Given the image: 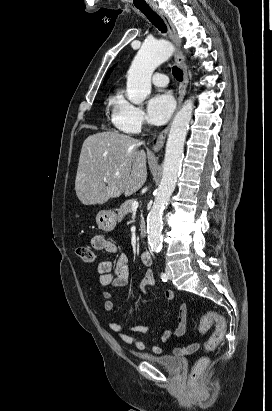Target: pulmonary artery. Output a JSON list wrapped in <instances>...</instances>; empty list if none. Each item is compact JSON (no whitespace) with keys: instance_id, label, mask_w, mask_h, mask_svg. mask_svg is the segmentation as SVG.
<instances>
[{"instance_id":"obj_1","label":"pulmonary artery","mask_w":272,"mask_h":411,"mask_svg":"<svg viewBox=\"0 0 272 411\" xmlns=\"http://www.w3.org/2000/svg\"><path fill=\"white\" fill-rule=\"evenodd\" d=\"M152 82L155 86L165 87L168 84V77L163 73H156L152 77Z\"/></svg>"}]
</instances>
